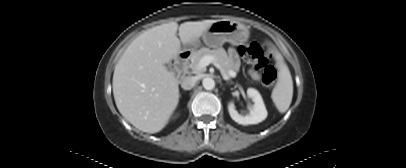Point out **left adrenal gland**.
Instances as JSON below:
<instances>
[{"mask_svg": "<svg viewBox=\"0 0 406 168\" xmlns=\"http://www.w3.org/2000/svg\"><path fill=\"white\" fill-rule=\"evenodd\" d=\"M227 83H232L231 81H227Z\"/></svg>", "mask_w": 406, "mask_h": 168, "instance_id": "obj_1", "label": "left adrenal gland"}]
</instances>
